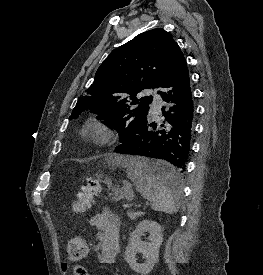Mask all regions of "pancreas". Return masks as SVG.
I'll use <instances>...</instances> for the list:
<instances>
[{"mask_svg":"<svg viewBox=\"0 0 263 275\" xmlns=\"http://www.w3.org/2000/svg\"><path fill=\"white\" fill-rule=\"evenodd\" d=\"M127 215H128V217L131 218V219H136L137 217L142 216V215H143V212H130V211H128V212H127Z\"/></svg>","mask_w":263,"mask_h":275,"instance_id":"cf45deb5","label":"pancreas"}]
</instances>
